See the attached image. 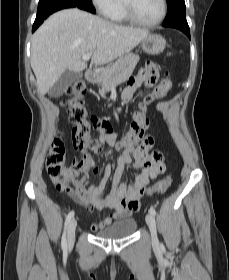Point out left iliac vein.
Listing matches in <instances>:
<instances>
[{"label":"left iliac vein","instance_id":"4c4485c4","mask_svg":"<svg viewBox=\"0 0 229 280\" xmlns=\"http://www.w3.org/2000/svg\"><path fill=\"white\" fill-rule=\"evenodd\" d=\"M146 223L150 229L151 232V237H152V241L154 243L157 242V235H156V222H155V218L154 215L151 213H148L146 215Z\"/></svg>","mask_w":229,"mask_h":280}]
</instances>
